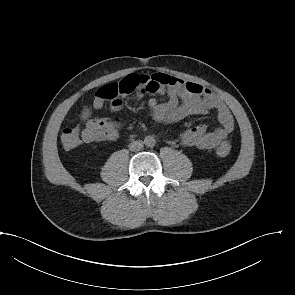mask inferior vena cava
I'll return each instance as SVG.
<instances>
[{
    "label": "inferior vena cava",
    "mask_w": 295,
    "mask_h": 295,
    "mask_svg": "<svg viewBox=\"0 0 295 295\" xmlns=\"http://www.w3.org/2000/svg\"><path fill=\"white\" fill-rule=\"evenodd\" d=\"M143 142L141 140L132 141L129 144V150L131 151H140L143 148Z\"/></svg>",
    "instance_id": "602c4592"
}]
</instances>
